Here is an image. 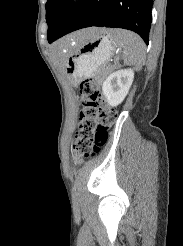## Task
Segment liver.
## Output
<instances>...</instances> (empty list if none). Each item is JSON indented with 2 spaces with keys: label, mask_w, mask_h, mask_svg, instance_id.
<instances>
[{
  "label": "liver",
  "mask_w": 183,
  "mask_h": 246,
  "mask_svg": "<svg viewBox=\"0 0 183 246\" xmlns=\"http://www.w3.org/2000/svg\"><path fill=\"white\" fill-rule=\"evenodd\" d=\"M101 31V29L98 28H89V29H84L81 31H78L70 36H68L67 38L61 40L60 42H58L57 45V50H58V56L61 57L62 59H65V52H64V48L66 46H68L71 43H78V44H83L86 41L94 38L99 32Z\"/></svg>",
  "instance_id": "obj_1"
}]
</instances>
